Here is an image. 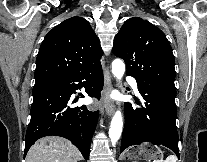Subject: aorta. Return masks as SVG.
<instances>
[{"mask_svg":"<svg viewBox=\"0 0 207 162\" xmlns=\"http://www.w3.org/2000/svg\"><path fill=\"white\" fill-rule=\"evenodd\" d=\"M112 73L114 77L118 80H121L124 73H125V64L121 59H115L112 62ZM122 127H123V119L122 114L120 111H116L114 114L111 125L109 129V138L113 143H116L121 136L122 133Z\"/></svg>","mask_w":207,"mask_h":162,"instance_id":"aorta-1","label":"aorta"}]
</instances>
